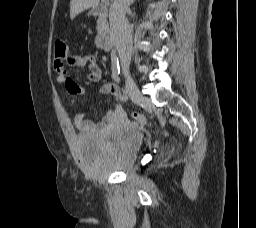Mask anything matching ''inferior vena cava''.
I'll use <instances>...</instances> for the list:
<instances>
[{"mask_svg": "<svg viewBox=\"0 0 256 228\" xmlns=\"http://www.w3.org/2000/svg\"><path fill=\"white\" fill-rule=\"evenodd\" d=\"M133 1L114 0L109 13L111 34L124 74L129 71L132 51V28L125 14Z\"/></svg>", "mask_w": 256, "mask_h": 228, "instance_id": "602c4592", "label": "inferior vena cava"}]
</instances>
